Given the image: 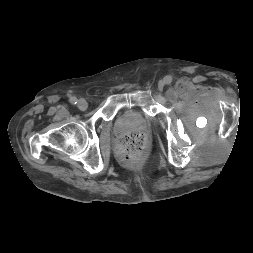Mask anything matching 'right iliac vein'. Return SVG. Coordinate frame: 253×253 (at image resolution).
Wrapping results in <instances>:
<instances>
[{
	"mask_svg": "<svg viewBox=\"0 0 253 253\" xmlns=\"http://www.w3.org/2000/svg\"><path fill=\"white\" fill-rule=\"evenodd\" d=\"M78 108L82 111L86 110L88 108V103L85 99H80L78 101Z\"/></svg>",
	"mask_w": 253,
	"mask_h": 253,
	"instance_id": "right-iliac-vein-1",
	"label": "right iliac vein"
}]
</instances>
